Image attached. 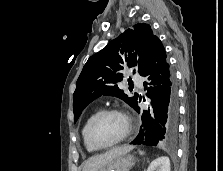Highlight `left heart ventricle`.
Returning a JSON list of instances; mask_svg holds the SVG:
<instances>
[{
    "mask_svg": "<svg viewBox=\"0 0 223 171\" xmlns=\"http://www.w3.org/2000/svg\"><path fill=\"white\" fill-rule=\"evenodd\" d=\"M126 131L125 120L116 114L101 117L94 125L92 135L94 140L102 145L118 140Z\"/></svg>",
    "mask_w": 223,
    "mask_h": 171,
    "instance_id": "1",
    "label": "left heart ventricle"
}]
</instances>
